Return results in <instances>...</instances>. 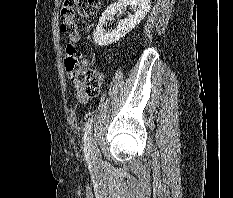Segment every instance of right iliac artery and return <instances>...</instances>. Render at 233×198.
Returning <instances> with one entry per match:
<instances>
[{
    "instance_id": "82829eb1",
    "label": "right iliac artery",
    "mask_w": 233,
    "mask_h": 198,
    "mask_svg": "<svg viewBox=\"0 0 233 198\" xmlns=\"http://www.w3.org/2000/svg\"><path fill=\"white\" fill-rule=\"evenodd\" d=\"M91 126H92V118L87 122L85 127V134H84V141H85V155L89 157V147H90V133H91Z\"/></svg>"
}]
</instances>
